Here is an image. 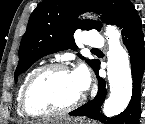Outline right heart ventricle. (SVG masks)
I'll list each match as a JSON object with an SVG mask.
<instances>
[{
    "instance_id": "e07e8e85",
    "label": "right heart ventricle",
    "mask_w": 145,
    "mask_h": 124,
    "mask_svg": "<svg viewBox=\"0 0 145 124\" xmlns=\"http://www.w3.org/2000/svg\"><path fill=\"white\" fill-rule=\"evenodd\" d=\"M36 69H33L31 71H29L25 77L23 78V80L21 81L19 87H18V90H17V93H16V104H17V110H18V113L21 115V116H24V113L21 109V94H22V90L24 88V85L26 83V81L28 80V78L31 76V74L35 71Z\"/></svg>"
}]
</instances>
